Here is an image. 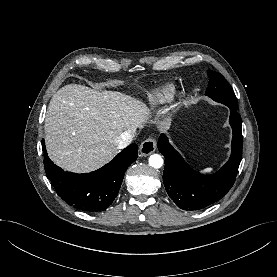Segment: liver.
Masks as SVG:
<instances>
[{"label":"liver","mask_w":277,"mask_h":277,"mask_svg":"<svg viewBox=\"0 0 277 277\" xmlns=\"http://www.w3.org/2000/svg\"><path fill=\"white\" fill-rule=\"evenodd\" d=\"M148 115L146 104L120 92L66 85L48 106L44 126L47 152L64 170L94 171L118 153V137L143 127ZM168 128V121H163L161 129Z\"/></svg>","instance_id":"1"}]
</instances>
